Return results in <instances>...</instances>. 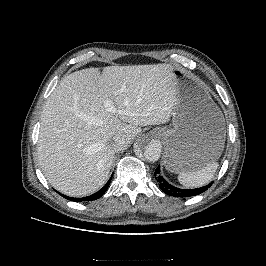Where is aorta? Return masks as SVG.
I'll use <instances>...</instances> for the list:
<instances>
[{
	"label": "aorta",
	"mask_w": 266,
	"mask_h": 266,
	"mask_svg": "<svg viewBox=\"0 0 266 266\" xmlns=\"http://www.w3.org/2000/svg\"><path fill=\"white\" fill-rule=\"evenodd\" d=\"M135 151L141 153L146 160L155 162L161 156L162 144L157 139L143 137L138 141Z\"/></svg>",
	"instance_id": "aorta-1"
}]
</instances>
